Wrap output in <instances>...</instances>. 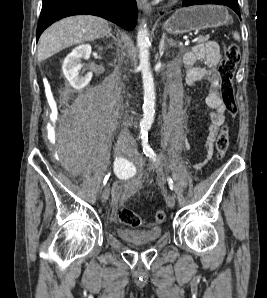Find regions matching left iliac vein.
I'll list each match as a JSON object with an SVG mask.
<instances>
[{
    "label": "left iliac vein",
    "instance_id": "4c4485c4",
    "mask_svg": "<svg viewBox=\"0 0 267 298\" xmlns=\"http://www.w3.org/2000/svg\"><path fill=\"white\" fill-rule=\"evenodd\" d=\"M126 151H127V154H128V156H130L131 158H133V159H136V148H135V146L134 145H132V146H129L127 149H126ZM166 203H167V205L170 207V208H174V206H175V197H174V195H172V194H168L167 196H166Z\"/></svg>",
    "mask_w": 267,
    "mask_h": 298
}]
</instances>
